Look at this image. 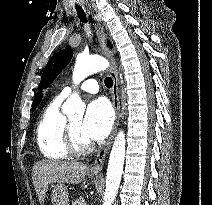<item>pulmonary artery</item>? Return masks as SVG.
<instances>
[{
  "label": "pulmonary artery",
  "mask_w": 212,
  "mask_h": 205,
  "mask_svg": "<svg viewBox=\"0 0 212 205\" xmlns=\"http://www.w3.org/2000/svg\"><path fill=\"white\" fill-rule=\"evenodd\" d=\"M77 90L96 94L99 91V85L95 79H88V80L84 81ZM74 91H75V89H73L71 87H65L61 91V93L58 97L61 99L67 98L70 95H72L74 93Z\"/></svg>",
  "instance_id": "e3ab8cb5"
}]
</instances>
